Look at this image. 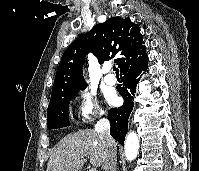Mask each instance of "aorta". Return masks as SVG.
Segmentation results:
<instances>
[{
    "label": "aorta",
    "instance_id": "1",
    "mask_svg": "<svg viewBox=\"0 0 199 171\" xmlns=\"http://www.w3.org/2000/svg\"><path fill=\"white\" fill-rule=\"evenodd\" d=\"M139 150V139L135 132H129L125 140V157L132 161L137 157Z\"/></svg>",
    "mask_w": 199,
    "mask_h": 171
}]
</instances>
